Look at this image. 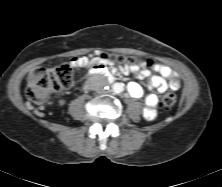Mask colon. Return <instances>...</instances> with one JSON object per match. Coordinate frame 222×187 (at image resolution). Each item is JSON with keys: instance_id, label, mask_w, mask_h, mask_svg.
Returning <instances> with one entry per match:
<instances>
[{"instance_id": "1", "label": "colon", "mask_w": 222, "mask_h": 187, "mask_svg": "<svg viewBox=\"0 0 222 187\" xmlns=\"http://www.w3.org/2000/svg\"><path fill=\"white\" fill-rule=\"evenodd\" d=\"M99 59L102 62L117 61L130 66L152 65V62L149 60L144 61L136 57L124 55L102 54L99 56ZM72 82L73 72L67 65L53 68L38 66L29 75L26 96L32 102L44 105L51 101L55 93L68 89ZM175 103L176 95L172 92H167L161 97V105L164 108H171Z\"/></svg>"}]
</instances>
